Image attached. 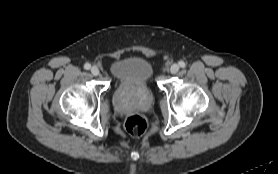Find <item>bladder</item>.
Wrapping results in <instances>:
<instances>
[{"mask_svg":"<svg viewBox=\"0 0 278 174\" xmlns=\"http://www.w3.org/2000/svg\"><path fill=\"white\" fill-rule=\"evenodd\" d=\"M110 71L119 85L130 88L146 87L153 77L151 63L136 55L115 60L110 66Z\"/></svg>","mask_w":278,"mask_h":174,"instance_id":"1","label":"bladder"}]
</instances>
